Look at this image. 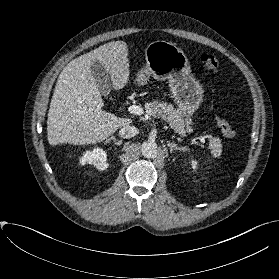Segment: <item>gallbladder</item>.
<instances>
[{
	"label": "gallbladder",
	"instance_id": "obj_1",
	"mask_svg": "<svg viewBox=\"0 0 279 279\" xmlns=\"http://www.w3.org/2000/svg\"><path fill=\"white\" fill-rule=\"evenodd\" d=\"M92 71L100 92L105 97H109L111 84H110L109 75L106 72L105 67L99 61L96 60L92 64Z\"/></svg>",
	"mask_w": 279,
	"mask_h": 279
}]
</instances>
